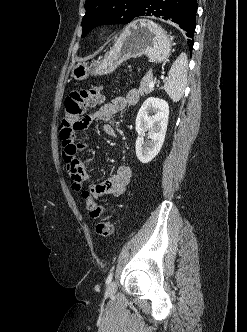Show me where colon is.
I'll return each instance as SVG.
<instances>
[{
    "mask_svg": "<svg viewBox=\"0 0 247 332\" xmlns=\"http://www.w3.org/2000/svg\"><path fill=\"white\" fill-rule=\"evenodd\" d=\"M104 100L103 89L94 86L71 92L64 102L65 113L61 125V138L63 142H68L75 130L82 129L86 124L85 112L88 108H93ZM89 216L98 219L96 232L98 235L106 237L113 232V223L108 216L104 215L103 206L99 205L89 191L82 192Z\"/></svg>",
    "mask_w": 247,
    "mask_h": 332,
    "instance_id": "1",
    "label": "colon"
}]
</instances>
